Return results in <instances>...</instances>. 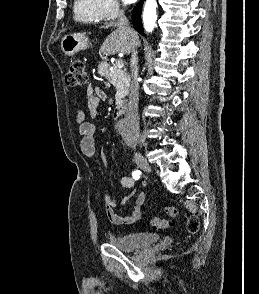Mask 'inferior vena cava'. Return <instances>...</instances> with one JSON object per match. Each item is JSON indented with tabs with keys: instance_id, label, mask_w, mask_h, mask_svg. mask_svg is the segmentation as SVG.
Segmentation results:
<instances>
[{
	"instance_id": "1",
	"label": "inferior vena cava",
	"mask_w": 259,
	"mask_h": 294,
	"mask_svg": "<svg viewBox=\"0 0 259 294\" xmlns=\"http://www.w3.org/2000/svg\"><path fill=\"white\" fill-rule=\"evenodd\" d=\"M117 25L120 29L125 31L128 35H132L134 30L130 27L129 21L120 8L117 9ZM131 59L130 67L131 73L129 77V102L127 106V117L132 124L131 129V142H138L137 125L139 122L138 116V101H139V83H138V57L136 48H130Z\"/></svg>"
}]
</instances>
